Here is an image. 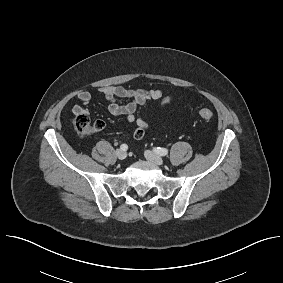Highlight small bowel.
<instances>
[{"label":"small bowel","instance_id":"c3829d8e","mask_svg":"<svg viewBox=\"0 0 283 283\" xmlns=\"http://www.w3.org/2000/svg\"><path fill=\"white\" fill-rule=\"evenodd\" d=\"M100 92L108 101V111L113 116H124L128 122L134 124L132 136L135 139L144 137L149 128L148 122L139 115V109L150 100H159L161 106L172 103V98L164 94L160 89H128L122 86H104ZM78 104L73 107V113L87 114V106L91 100L88 91H80L77 94Z\"/></svg>","mask_w":283,"mask_h":283}]
</instances>
